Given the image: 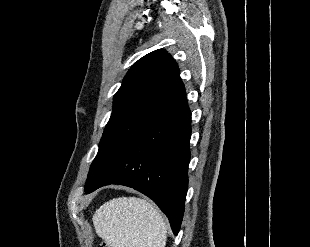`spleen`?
I'll use <instances>...</instances> for the list:
<instances>
[{"instance_id": "obj_1", "label": "spleen", "mask_w": 310, "mask_h": 247, "mask_svg": "<svg viewBox=\"0 0 310 247\" xmlns=\"http://www.w3.org/2000/svg\"><path fill=\"white\" fill-rule=\"evenodd\" d=\"M96 233L109 247H165L167 225L145 199L119 197L104 203L92 218Z\"/></svg>"}]
</instances>
